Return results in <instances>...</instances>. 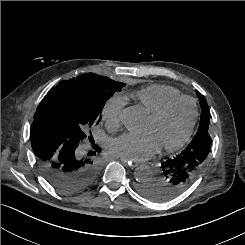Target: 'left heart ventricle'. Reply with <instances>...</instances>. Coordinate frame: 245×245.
<instances>
[{
    "instance_id": "obj_1",
    "label": "left heart ventricle",
    "mask_w": 245,
    "mask_h": 245,
    "mask_svg": "<svg viewBox=\"0 0 245 245\" xmlns=\"http://www.w3.org/2000/svg\"><path fill=\"white\" fill-rule=\"evenodd\" d=\"M192 115L193 106L189 101L178 102L158 120L147 117L142 132L149 133L160 148L172 145L183 137Z\"/></svg>"
}]
</instances>
